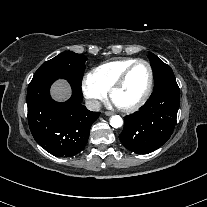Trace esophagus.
Instances as JSON below:
<instances>
[{
  "mask_svg": "<svg viewBox=\"0 0 207 207\" xmlns=\"http://www.w3.org/2000/svg\"><path fill=\"white\" fill-rule=\"evenodd\" d=\"M104 114H105L106 116H112V115H113L112 112H108V111H106Z\"/></svg>",
  "mask_w": 207,
  "mask_h": 207,
  "instance_id": "34e87169",
  "label": "esophagus"
}]
</instances>
